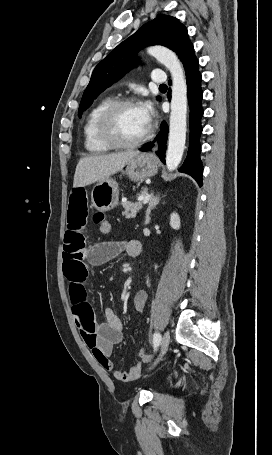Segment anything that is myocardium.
<instances>
[{"instance_id":"1","label":"myocardium","mask_w":272,"mask_h":455,"mask_svg":"<svg viewBox=\"0 0 272 455\" xmlns=\"http://www.w3.org/2000/svg\"><path fill=\"white\" fill-rule=\"evenodd\" d=\"M137 106L131 98H120L111 101L99 116L97 129L99 137L103 142L116 149H133L142 145L148 138L150 130L147 128L145 133L135 141H122L116 134L114 120L119 110L124 107Z\"/></svg>"}]
</instances>
